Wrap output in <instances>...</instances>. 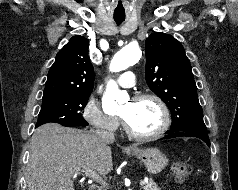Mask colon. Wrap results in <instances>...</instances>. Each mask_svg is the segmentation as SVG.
<instances>
[{
    "instance_id": "colon-1",
    "label": "colon",
    "mask_w": 238,
    "mask_h": 190,
    "mask_svg": "<svg viewBox=\"0 0 238 190\" xmlns=\"http://www.w3.org/2000/svg\"><path fill=\"white\" fill-rule=\"evenodd\" d=\"M171 171L175 180L182 182L191 174L192 168L188 163L184 161H175L171 165Z\"/></svg>"
}]
</instances>
